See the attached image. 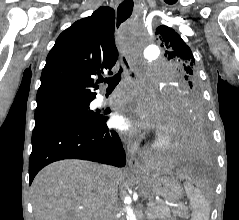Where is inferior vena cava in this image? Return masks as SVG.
<instances>
[{
    "instance_id": "602c4592",
    "label": "inferior vena cava",
    "mask_w": 239,
    "mask_h": 220,
    "mask_svg": "<svg viewBox=\"0 0 239 220\" xmlns=\"http://www.w3.org/2000/svg\"><path fill=\"white\" fill-rule=\"evenodd\" d=\"M113 168L110 166H107L105 168V181H104V192L107 196V199H110L113 197V194L116 190V184L113 180L112 176ZM112 204L109 200H107V204L104 208V220H114L113 215L111 213Z\"/></svg>"
}]
</instances>
